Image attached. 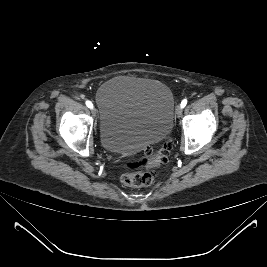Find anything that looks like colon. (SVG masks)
<instances>
[{
	"mask_svg": "<svg viewBox=\"0 0 267 267\" xmlns=\"http://www.w3.org/2000/svg\"><path fill=\"white\" fill-rule=\"evenodd\" d=\"M170 144L164 142L159 148H147L135 161L124 164L127 169L121 176V182L129 187L150 185L155 178V171L168 162Z\"/></svg>",
	"mask_w": 267,
	"mask_h": 267,
	"instance_id": "colon-1",
	"label": "colon"
}]
</instances>
